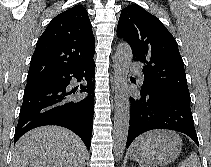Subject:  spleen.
Instances as JSON below:
<instances>
[{
    "mask_svg": "<svg viewBox=\"0 0 211 167\" xmlns=\"http://www.w3.org/2000/svg\"><path fill=\"white\" fill-rule=\"evenodd\" d=\"M178 167H201V163L198 155L195 152H191L185 160L179 163Z\"/></svg>",
    "mask_w": 211,
    "mask_h": 167,
    "instance_id": "obj_1",
    "label": "spleen"
}]
</instances>
